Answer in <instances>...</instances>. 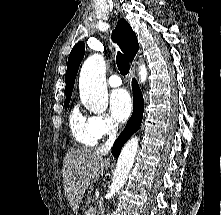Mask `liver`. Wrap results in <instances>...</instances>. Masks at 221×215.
I'll return each mask as SVG.
<instances>
[{
  "instance_id": "liver-1",
  "label": "liver",
  "mask_w": 221,
  "mask_h": 215,
  "mask_svg": "<svg viewBox=\"0 0 221 215\" xmlns=\"http://www.w3.org/2000/svg\"><path fill=\"white\" fill-rule=\"evenodd\" d=\"M103 156L99 148H78L68 150L64 157L63 186L67 200L76 214L86 189L98 180L110 165V160L104 159Z\"/></svg>"
}]
</instances>
